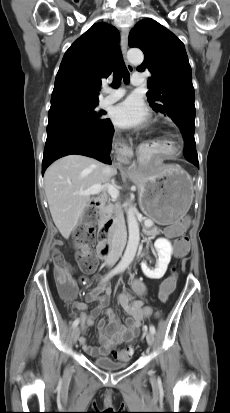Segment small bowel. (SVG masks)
<instances>
[{"label":"small bowel","mask_w":230,"mask_h":413,"mask_svg":"<svg viewBox=\"0 0 230 413\" xmlns=\"http://www.w3.org/2000/svg\"><path fill=\"white\" fill-rule=\"evenodd\" d=\"M181 231L182 229L175 224L168 227L165 233L168 237H175ZM185 250L187 251V248ZM133 288L140 295L146 293L145 284L138 279L133 281ZM110 295V285L103 281L91 289L86 296L87 302L96 303V306L90 312H87V305L85 303L76 302L74 304L76 309L75 316L79 319L81 333L85 331L87 326L93 325L95 319L99 317L103 310H105L109 319L107 327H105V320L100 319L98 321L99 346L87 344L86 338L82 334H79V343L83 350L91 357L97 358L113 354L117 360L127 361L130 355L123 351L127 348L120 350L117 348L132 342L137 337L142 322L151 314V310L144 305L143 301L134 299L128 293H122L117 297V301L128 314V318L122 324L119 322L116 312L108 308Z\"/></svg>","instance_id":"obj_1"}]
</instances>
